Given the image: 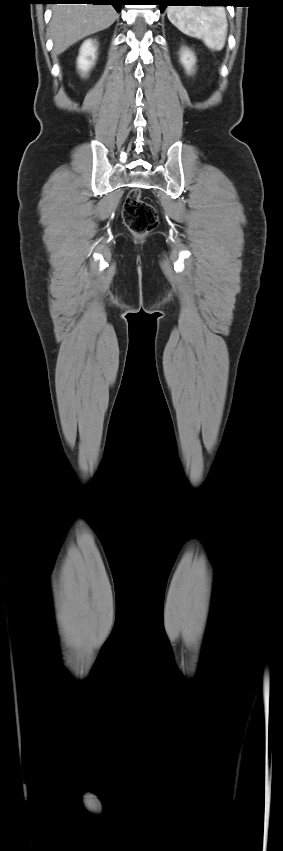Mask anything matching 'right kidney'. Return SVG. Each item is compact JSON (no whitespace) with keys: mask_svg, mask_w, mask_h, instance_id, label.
<instances>
[{"mask_svg":"<svg viewBox=\"0 0 283 851\" xmlns=\"http://www.w3.org/2000/svg\"><path fill=\"white\" fill-rule=\"evenodd\" d=\"M96 50L97 48L94 45V42L91 39L86 40L81 48L80 54L77 60L78 68L87 72L91 66L94 64L96 58Z\"/></svg>","mask_w":283,"mask_h":851,"instance_id":"right-kidney-1","label":"right kidney"}]
</instances>
